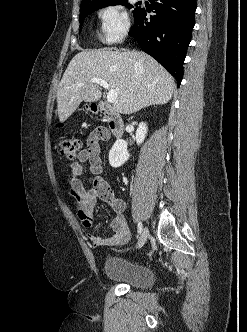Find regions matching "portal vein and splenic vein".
Masks as SVG:
<instances>
[{
	"label": "portal vein and splenic vein",
	"instance_id": "18ae733b",
	"mask_svg": "<svg viewBox=\"0 0 247 332\" xmlns=\"http://www.w3.org/2000/svg\"><path fill=\"white\" fill-rule=\"evenodd\" d=\"M90 82L97 83L100 86H102L103 88L109 90L108 93H107V101L109 103H114L116 101V99H117V92L115 90H113V89H110L108 83L105 80L100 79V78H93V79L90 80ZM78 86L79 87L84 86V83H80V84H78Z\"/></svg>",
	"mask_w": 247,
	"mask_h": 332
}]
</instances>
